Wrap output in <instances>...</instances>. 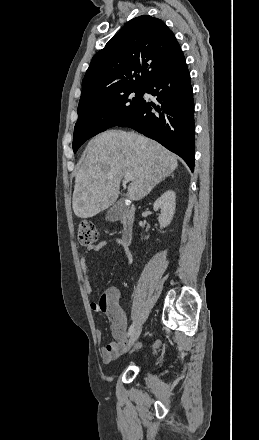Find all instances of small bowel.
<instances>
[{
	"label": "small bowel",
	"mask_w": 259,
	"mask_h": 440,
	"mask_svg": "<svg viewBox=\"0 0 259 440\" xmlns=\"http://www.w3.org/2000/svg\"><path fill=\"white\" fill-rule=\"evenodd\" d=\"M116 245L122 247L125 250L128 261H132V254L129 250V245L126 244L122 238L120 237H111L106 238L100 241L98 244L94 246H90L85 251L84 255L81 257L80 264L83 273L84 286L85 291L88 295L91 294L92 288L90 285L89 277H88V264L87 259L88 256L92 252H97L104 247ZM119 293L116 289H109L106 293H104L98 301H93L90 304V308L94 312H103L106 314L110 321L111 332L114 340L103 346L100 350V354L102 360L105 362H111L118 358L121 353L126 348V329H127V319L124 311L118 304ZM96 336L99 341L102 339V332L100 330L96 331ZM159 342L155 344L158 346Z\"/></svg>",
	"instance_id": "c3829d8e"
}]
</instances>
